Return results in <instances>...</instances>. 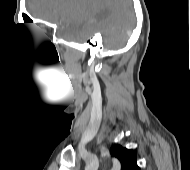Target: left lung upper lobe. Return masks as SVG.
<instances>
[{
	"instance_id": "obj_1",
	"label": "left lung upper lobe",
	"mask_w": 190,
	"mask_h": 170,
	"mask_svg": "<svg viewBox=\"0 0 190 170\" xmlns=\"http://www.w3.org/2000/svg\"><path fill=\"white\" fill-rule=\"evenodd\" d=\"M110 153L120 161L121 170H140L137 165L135 151L121 145H115L110 149Z\"/></svg>"
}]
</instances>
